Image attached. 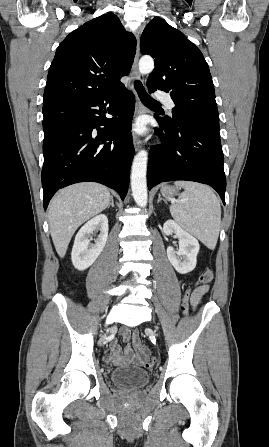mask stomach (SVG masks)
Returning a JSON list of instances; mask_svg holds the SVG:
<instances>
[{"mask_svg":"<svg viewBox=\"0 0 269 447\" xmlns=\"http://www.w3.org/2000/svg\"><path fill=\"white\" fill-rule=\"evenodd\" d=\"M176 192L177 190H175V188H172V186H162L161 188V194H163V196H174Z\"/></svg>","mask_w":269,"mask_h":447,"instance_id":"obj_1","label":"stomach"}]
</instances>
